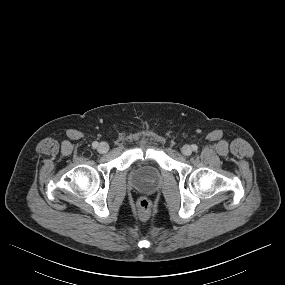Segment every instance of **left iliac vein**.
<instances>
[{
  "instance_id": "1",
  "label": "left iliac vein",
  "mask_w": 285,
  "mask_h": 285,
  "mask_svg": "<svg viewBox=\"0 0 285 285\" xmlns=\"http://www.w3.org/2000/svg\"><path fill=\"white\" fill-rule=\"evenodd\" d=\"M182 154L185 156H189L192 153V148L189 145H184L181 149Z\"/></svg>"
}]
</instances>
